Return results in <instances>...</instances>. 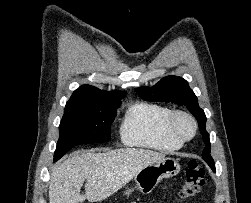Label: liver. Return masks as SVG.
Here are the masks:
<instances>
[{"instance_id": "1", "label": "liver", "mask_w": 251, "mask_h": 203, "mask_svg": "<svg viewBox=\"0 0 251 203\" xmlns=\"http://www.w3.org/2000/svg\"><path fill=\"white\" fill-rule=\"evenodd\" d=\"M164 158L163 153L142 148L74 152L52 169L49 203H79L85 199L100 202L130 182L143 168ZM85 180V194H80Z\"/></svg>"}]
</instances>
